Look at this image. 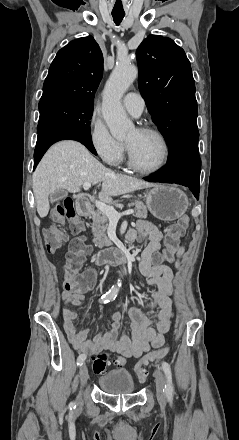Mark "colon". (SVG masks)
Masks as SVG:
<instances>
[{
    "label": "colon",
    "instance_id": "obj_1",
    "mask_svg": "<svg viewBox=\"0 0 239 440\" xmlns=\"http://www.w3.org/2000/svg\"><path fill=\"white\" fill-rule=\"evenodd\" d=\"M53 219L57 222H63L67 219L70 222V227L75 234L83 231V222L76 212L73 201L67 199L62 206L55 209ZM189 225V217L182 216L175 223L170 225L166 231L165 248L161 254L155 257V261L161 264L164 260H171L178 248L179 240L184 235ZM65 239L61 231L56 228H47L45 230V244L48 252L55 253ZM89 251V247L82 239H76L67 254L65 264V276L70 278L76 284L81 283L80 270L84 263V255ZM169 351L168 347H163L151 351L144 355L135 367V371L140 380H144L147 376L146 366L154 361L163 358ZM110 362L106 353L98 354L93 360V371L96 374L106 372Z\"/></svg>",
    "mask_w": 239,
    "mask_h": 440
}]
</instances>
